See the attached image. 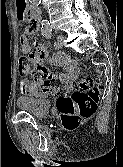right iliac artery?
<instances>
[{"mask_svg":"<svg viewBox=\"0 0 123 167\" xmlns=\"http://www.w3.org/2000/svg\"><path fill=\"white\" fill-rule=\"evenodd\" d=\"M48 32V29L43 30V35Z\"/></svg>","mask_w":123,"mask_h":167,"instance_id":"82829eb1","label":"right iliac artery"}]
</instances>
